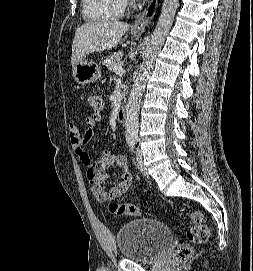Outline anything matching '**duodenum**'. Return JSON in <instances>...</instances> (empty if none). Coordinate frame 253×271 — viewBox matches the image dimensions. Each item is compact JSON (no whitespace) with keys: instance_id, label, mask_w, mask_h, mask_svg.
<instances>
[{"instance_id":"duodenum-1","label":"duodenum","mask_w":253,"mask_h":271,"mask_svg":"<svg viewBox=\"0 0 253 271\" xmlns=\"http://www.w3.org/2000/svg\"><path fill=\"white\" fill-rule=\"evenodd\" d=\"M126 111L127 108L125 105L120 106V108L117 111V118L119 121H124L126 118Z\"/></svg>"}]
</instances>
